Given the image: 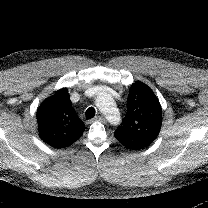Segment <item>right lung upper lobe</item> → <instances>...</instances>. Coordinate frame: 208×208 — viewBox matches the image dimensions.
I'll return each instance as SVG.
<instances>
[{"mask_svg": "<svg viewBox=\"0 0 208 208\" xmlns=\"http://www.w3.org/2000/svg\"><path fill=\"white\" fill-rule=\"evenodd\" d=\"M40 138L54 148L73 144L85 130L72 107L67 88H62L45 99L37 110Z\"/></svg>", "mask_w": 208, "mask_h": 208, "instance_id": "right-lung-upper-lobe-1", "label": "right lung upper lobe"}]
</instances>
